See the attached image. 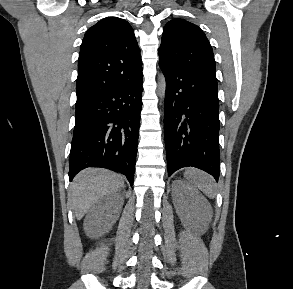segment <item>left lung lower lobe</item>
I'll return each instance as SVG.
<instances>
[{
	"label": "left lung lower lobe",
	"mask_w": 293,
	"mask_h": 289,
	"mask_svg": "<svg viewBox=\"0 0 293 289\" xmlns=\"http://www.w3.org/2000/svg\"><path fill=\"white\" fill-rule=\"evenodd\" d=\"M159 66L166 78L164 136L168 176L192 166L219 178L217 79Z\"/></svg>",
	"instance_id": "left-lung-lower-lobe-1"
}]
</instances>
